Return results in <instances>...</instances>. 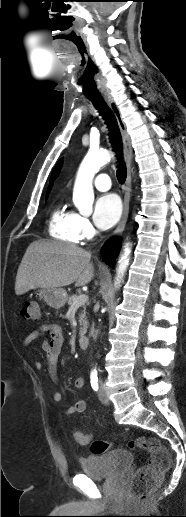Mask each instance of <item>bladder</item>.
<instances>
[{"instance_id":"obj_1","label":"bladder","mask_w":186,"mask_h":517,"mask_svg":"<svg viewBox=\"0 0 186 517\" xmlns=\"http://www.w3.org/2000/svg\"><path fill=\"white\" fill-rule=\"evenodd\" d=\"M133 462V455L124 449L94 454L80 462L82 472L93 479H110L123 474Z\"/></svg>"}]
</instances>
